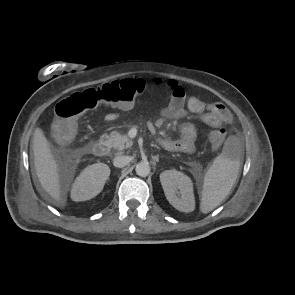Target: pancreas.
<instances>
[{"instance_id": "cf45deb5", "label": "pancreas", "mask_w": 295, "mask_h": 295, "mask_svg": "<svg viewBox=\"0 0 295 295\" xmlns=\"http://www.w3.org/2000/svg\"><path fill=\"white\" fill-rule=\"evenodd\" d=\"M105 139L111 147L118 151L130 148L133 145V141L131 139L118 132H111L109 135H105Z\"/></svg>"}]
</instances>
